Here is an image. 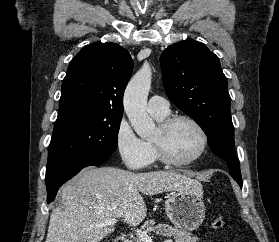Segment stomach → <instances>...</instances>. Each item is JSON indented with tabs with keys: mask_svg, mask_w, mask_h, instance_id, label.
I'll use <instances>...</instances> for the list:
<instances>
[{
	"mask_svg": "<svg viewBox=\"0 0 279 242\" xmlns=\"http://www.w3.org/2000/svg\"><path fill=\"white\" fill-rule=\"evenodd\" d=\"M201 191H174L166 198L165 211L175 227L193 231L203 223L206 208Z\"/></svg>",
	"mask_w": 279,
	"mask_h": 242,
	"instance_id": "1",
	"label": "stomach"
}]
</instances>
